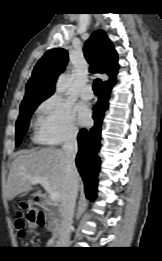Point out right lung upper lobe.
I'll return each instance as SVG.
<instances>
[{
    "label": "right lung upper lobe",
    "mask_w": 162,
    "mask_h": 261,
    "mask_svg": "<svg viewBox=\"0 0 162 261\" xmlns=\"http://www.w3.org/2000/svg\"><path fill=\"white\" fill-rule=\"evenodd\" d=\"M84 56L91 65V72L106 73L110 78L103 83V88H111L116 83L118 56L114 46L103 30L95 31L86 41ZM68 62V52L57 48L46 52L37 62L26 85L23 100L51 96L56 80Z\"/></svg>",
    "instance_id": "cb5924a9"
}]
</instances>
